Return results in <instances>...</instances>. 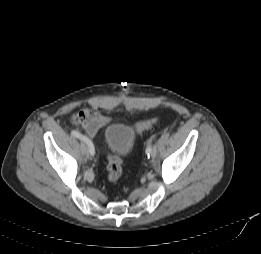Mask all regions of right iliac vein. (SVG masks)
I'll return each mask as SVG.
<instances>
[{"instance_id":"right-iliac-vein-1","label":"right iliac vein","mask_w":261,"mask_h":254,"mask_svg":"<svg viewBox=\"0 0 261 254\" xmlns=\"http://www.w3.org/2000/svg\"><path fill=\"white\" fill-rule=\"evenodd\" d=\"M81 151H82V153H84V154L87 153V148H86V146H85L84 143L81 144Z\"/></svg>"}]
</instances>
